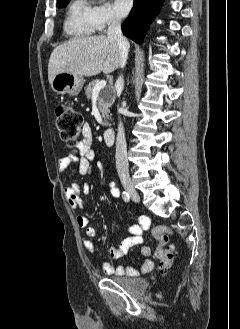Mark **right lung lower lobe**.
Masks as SVG:
<instances>
[{"label":"right lung lower lobe","mask_w":240,"mask_h":329,"mask_svg":"<svg viewBox=\"0 0 240 329\" xmlns=\"http://www.w3.org/2000/svg\"><path fill=\"white\" fill-rule=\"evenodd\" d=\"M163 0H134L132 11L122 25L123 33L142 43L150 23L157 15Z\"/></svg>","instance_id":"right-lung-lower-lobe-1"}]
</instances>
